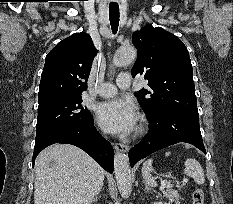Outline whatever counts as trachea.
<instances>
[{
    "label": "trachea",
    "instance_id": "1",
    "mask_svg": "<svg viewBox=\"0 0 233 204\" xmlns=\"http://www.w3.org/2000/svg\"><path fill=\"white\" fill-rule=\"evenodd\" d=\"M109 19L111 28L114 34H116L119 25V6L110 5L109 6Z\"/></svg>",
    "mask_w": 233,
    "mask_h": 204
}]
</instances>
